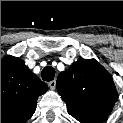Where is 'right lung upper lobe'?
Segmentation results:
<instances>
[{"mask_svg": "<svg viewBox=\"0 0 123 123\" xmlns=\"http://www.w3.org/2000/svg\"><path fill=\"white\" fill-rule=\"evenodd\" d=\"M48 90L19 57L1 60V123H24L36 110L37 99Z\"/></svg>", "mask_w": 123, "mask_h": 123, "instance_id": "right-lung-upper-lobe-1", "label": "right lung upper lobe"}]
</instances>
